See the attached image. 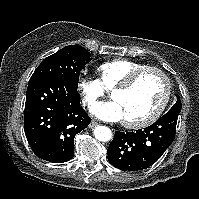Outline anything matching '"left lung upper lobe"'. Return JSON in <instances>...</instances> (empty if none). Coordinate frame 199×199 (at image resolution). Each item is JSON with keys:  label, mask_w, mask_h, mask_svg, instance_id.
Returning <instances> with one entry per match:
<instances>
[{"label": "left lung upper lobe", "mask_w": 199, "mask_h": 199, "mask_svg": "<svg viewBox=\"0 0 199 199\" xmlns=\"http://www.w3.org/2000/svg\"><path fill=\"white\" fill-rule=\"evenodd\" d=\"M181 101H180V97L177 96V102L172 106V108L169 111H175V112H179L181 111Z\"/></svg>", "instance_id": "left-lung-upper-lobe-1"}]
</instances>
